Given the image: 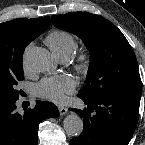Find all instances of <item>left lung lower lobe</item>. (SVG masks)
I'll return each instance as SVG.
<instances>
[{
    "instance_id": "obj_1",
    "label": "left lung lower lobe",
    "mask_w": 145,
    "mask_h": 145,
    "mask_svg": "<svg viewBox=\"0 0 145 145\" xmlns=\"http://www.w3.org/2000/svg\"><path fill=\"white\" fill-rule=\"evenodd\" d=\"M87 105L70 109L83 118L84 128L70 145H128L136 129L141 92L114 94L99 99L78 95Z\"/></svg>"
}]
</instances>
